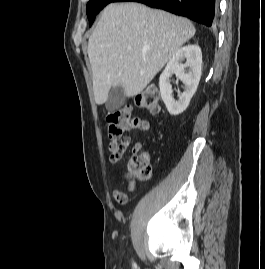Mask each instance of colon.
<instances>
[{
  "mask_svg": "<svg viewBox=\"0 0 265 269\" xmlns=\"http://www.w3.org/2000/svg\"><path fill=\"white\" fill-rule=\"evenodd\" d=\"M137 106L156 114L160 109V96L155 87H148L137 97ZM107 134L111 140L128 142L127 135L134 130H142L145 127L144 119L133 115L132 107L125 106L108 113L106 117ZM152 168L148 155L136 147L126 168V177L130 183L143 182L151 178Z\"/></svg>",
  "mask_w": 265,
  "mask_h": 269,
  "instance_id": "colon-1",
  "label": "colon"
}]
</instances>
